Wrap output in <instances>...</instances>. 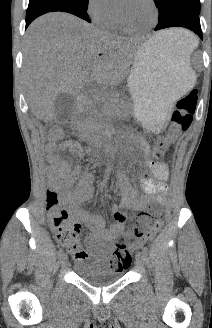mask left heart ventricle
Listing matches in <instances>:
<instances>
[{"label": "left heart ventricle", "mask_w": 212, "mask_h": 328, "mask_svg": "<svg viewBox=\"0 0 212 328\" xmlns=\"http://www.w3.org/2000/svg\"><path fill=\"white\" fill-rule=\"evenodd\" d=\"M120 9L131 26L145 27L153 22L154 11L148 0H122Z\"/></svg>", "instance_id": "obj_1"}]
</instances>
